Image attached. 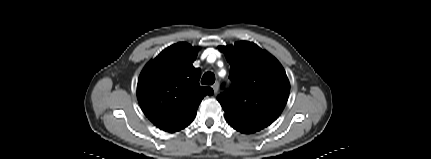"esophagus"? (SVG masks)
<instances>
[{
  "label": "esophagus",
  "instance_id": "34e87169",
  "mask_svg": "<svg viewBox=\"0 0 431 159\" xmlns=\"http://www.w3.org/2000/svg\"><path fill=\"white\" fill-rule=\"evenodd\" d=\"M212 89L214 91V94H216L219 90V83L218 82L214 83L212 86Z\"/></svg>",
  "mask_w": 431,
  "mask_h": 159
}]
</instances>
